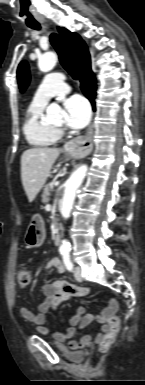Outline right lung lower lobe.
Segmentation results:
<instances>
[{
	"mask_svg": "<svg viewBox=\"0 0 145 385\" xmlns=\"http://www.w3.org/2000/svg\"><path fill=\"white\" fill-rule=\"evenodd\" d=\"M80 82H81V89L84 93V95L89 99L91 102L93 109L95 110V96H96V81L95 76L91 70V65L84 70H82L80 73Z\"/></svg>",
	"mask_w": 145,
	"mask_h": 385,
	"instance_id": "1",
	"label": "right lung lower lobe"
}]
</instances>
